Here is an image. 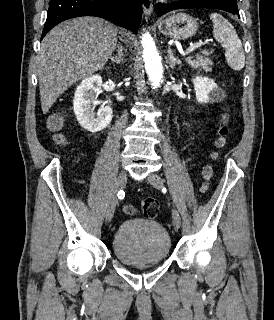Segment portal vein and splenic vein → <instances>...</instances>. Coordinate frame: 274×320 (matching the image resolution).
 Here are the masks:
<instances>
[{
    "label": "portal vein and splenic vein",
    "mask_w": 274,
    "mask_h": 320,
    "mask_svg": "<svg viewBox=\"0 0 274 320\" xmlns=\"http://www.w3.org/2000/svg\"><path fill=\"white\" fill-rule=\"evenodd\" d=\"M189 52H193V50H187V52H182V54L185 56V54H189Z\"/></svg>",
    "instance_id": "obj_1"
}]
</instances>
